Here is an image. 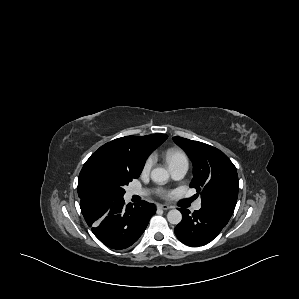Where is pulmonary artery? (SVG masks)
Instances as JSON below:
<instances>
[{"mask_svg": "<svg viewBox=\"0 0 299 299\" xmlns=\"http://www.w3.org/2000/svg\"><path fill=\"white\" fill-rule=\"evenodd\" d=\"M171 169V173L174 179H181L185 176L187 170H188V164L187 163H181L178 165H175L173 167L170 168ZM132 194L135 195H145L147 194V192L145 191H140V190H133ZM193 210L198 211L201 209V201H197L194 203L193 205Z\"/></svg>", "mask_w": 299, "mask_h": 299, "instance_id": "1", "label": "pulmonary artery"}]
</instances>
